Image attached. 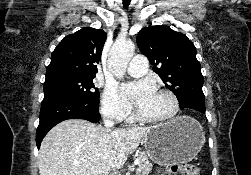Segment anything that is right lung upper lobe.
Listing matches in <instances>:
<instances>
[{
	"label": "right lung upper lobe",
	"mask_w": 251,
	"mask_h": 175,
	"mask_svg": "<svg viewBox=\"0 0 251 175\" xmlns=\"http://www.w3.org/2000/svg\"><path fill=\"white\" fill-rule=\"evenodd\" d=\"M107 35L103 30L84 27L65 36L51 55L46 77L95 76Z\"/></svg>",
	"instance_id": "cb5924a9"
}]
</instances>
